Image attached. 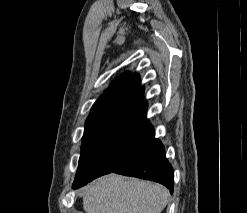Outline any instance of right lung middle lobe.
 Instances as JSON below:
<instances>
[{
  "instance_id": "dd1d6c3e",
  "label": "right lung middle lobe",
  "mask_w": 247,
  "mask_h": 213,
  "mask_svg": "<svg viewBox=\"0 0 247 213\" xmlns=\"http://www.w3.org/2000/svg\"><path fill=\"white\" fill-rule=\"evenodd\" d=\"M131 109L111 110L86 122L73 188H79L96 177L99 172V160L116 142Z\"/></svg>"
}]
</instances>
